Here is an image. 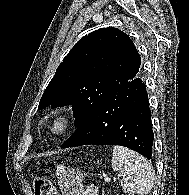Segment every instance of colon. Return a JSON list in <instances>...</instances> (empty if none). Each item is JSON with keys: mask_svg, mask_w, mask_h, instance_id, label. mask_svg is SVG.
Returning a JSON list of instances; mask_svg holds the SVG:
<instances>
[{"mask_svg": "<svg viewBox=\"0 0 189 195\" xmlns=\"http://www.w3.org/2000/svg\"><path fill=\"white\" fill-rule=\"evenodd\" d=\"M56 175L63 195H85L82 175L79 171L59 165L56 168ZM33 188L35 195H57L55 186L45 177H36Z\"/></svg>", "mask_w": 189, "mask_h": 195, "instance_id": "5ec220e1", "label": "colon"}]
</instances>
